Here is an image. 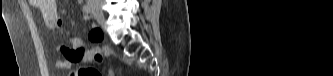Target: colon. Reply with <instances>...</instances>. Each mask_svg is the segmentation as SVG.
<instances>
[{"label": "colon", "instance_id": "5ec220e1", "mask_svg": "<svg viewBox=\"0 0 333 76\" xmlns=\"http://www.w3.org/2000/svg\"><path fill=\"white\" fill-rule=\"evenodd\" d=\"M80 76H101L100 72H98L97 70H94V68H81L79 69ZM109 76H113L114 72L111 70L108 73Z\"/></svg>", "mask_w": 333, "mask_h": 76}]
</instances>
